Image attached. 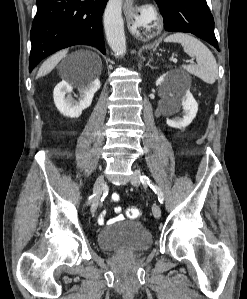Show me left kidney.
Here are the masks:
<instances>
[{
  "label": "left kidney",
  "mask_w": 247,
  "mask_h": 299,
  "mask_svg": "<svg viewBox=\"0 0 247 299\" xmlns=\"http://www.w3.org/2000/svg\"><path fill=\"white\" fill-rule=\"evenodd\" d=\"M172 78L162 75L157 81L156 85L167 91L171 97L170 106L172 110H178L180 106L183 108V118L169 119L166 123L168 126L181 129L187 127L196 117L198 111V104L189 90L181 91L171 88Z\"/></svg>",
  "instance_id": "5707ae66"
}]
</instances>
